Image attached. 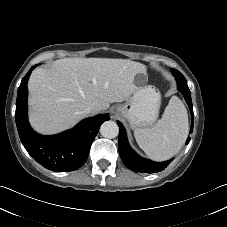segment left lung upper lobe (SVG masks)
<instances>
[{
  "instance_id": "obj_1",
  "label": "left lung upper lobe",
  "mask_w": 227,
  "mask_h": 227,
  "mask_svg": "<svg viewBox=\"0 0 227 227\" xmlns=\"http://www.w3.org/2000/svg\"><path fill=\"white\" fill-rule=\"evenodd\" d=\"M171 71H172V73H173V75H175V74H181L178 70H176V69H171Z\"/></svg>"
}]
</instances>
